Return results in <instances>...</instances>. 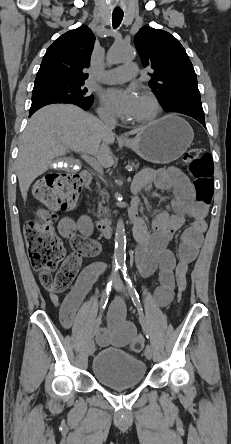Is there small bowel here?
<instances>
[{
	"label": "small bowel",
	"instance_id": "small-bowel-1",
	"mask_svg": "<svg viewBox=\"0 0 231 444\" xmlns=\"http://www.w3.org/2000/svg\"><path fill=\"white\" fill-rule=\"evenodd\" d=\"M153 185L172 192V212L161 210L150 229L145 221L139 218V223L134 229L137 241L135 258L144 277L156 274L154 300L159 306H166L173 299L175 276L186 274L189 265L198 255L206 229L208 205L195 201L188 178L178 168L144 170L135 178L132 190L138 194L141 191H149ZM137 203L138 200L135 201V204ZM186 219H190L192 223L183 234L177 261L168 245ZM58 230L62 237L69 240L75 253L81 256H95L101 250L100 245L89 238V225L85 219L76 223L73 219L65 217L60 221ZM78 230L82 233L80 237L77 236ZM100 270L101 266L97 264L85 267L64 300H60L55 294L50 295L52 304L59 309L60 321L65 328L74 325L76 313L97 280ZM124 312V305L117 299L111 307L108 326L98 329L95 333L100 346L123 347L135 340L142 341L135 325L124 320Z\"/></svg>",
	"mask_w": 231,
	"mask_h": 444
}]
</instances>
